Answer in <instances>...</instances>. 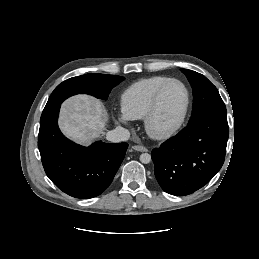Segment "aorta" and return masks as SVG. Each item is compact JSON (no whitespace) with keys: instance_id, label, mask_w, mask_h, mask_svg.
Masks as SVG:
<instances>
[{"instance_id":"aorta-1","label":"aorta","mask_w":259,"mask_h":259,"mask_svg":"<svg viewBox=\"0 0 259 259\" xmlns=\"http://www.w3.org/2000/svg\"><path fill=\"white\" fill-rule=\"evenodd\" d=\"M140 161L143 164H148L151 161V155L148 153H143L140 155Z\"/></svg>"}]
</instances>
